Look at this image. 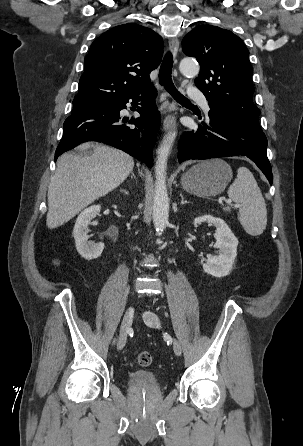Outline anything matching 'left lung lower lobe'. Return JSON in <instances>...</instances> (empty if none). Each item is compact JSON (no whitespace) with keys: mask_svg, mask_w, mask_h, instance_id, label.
Segmentation results:
<instances>
[{"mask_svg":"<svg viewBox=\"0 0 303 446\" xmlns=\"http://www.w3.org/2000/svg\"><path fill=\"white\" fill-rule=\"evenodd\" d=\"M209 106L210 123H202L198 130L185 132L179 141V162L189 159L247 156L272 184L273 175L267 158L265 134L227 117L218 106Z\"/></svg>","mask_w":303,"mask_h":446,"instance_id":"1","label":"left lung lower lobe"}]
</instances>
